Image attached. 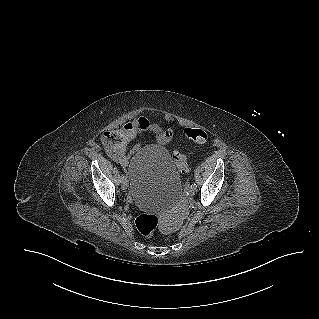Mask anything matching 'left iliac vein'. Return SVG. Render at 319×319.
<instances>
[{"label":"left iliac vein","instance_id":"4c4485c4","mask_svg":"<svg viewBox=\"0 0 319 319\" xmlns=\"http://www.w3.org/2000/svg\"><path fill=\"white\" fill-rule=\"evenodd\" d=\"M187 192H188V194H189L190 196H193L194 193H195V188H194L193 186H189V187L187 188Z\"/></svg>","mask_w":319,"mask_h":319}]
</instances>
